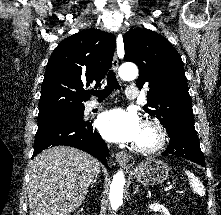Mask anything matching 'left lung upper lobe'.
Instances as JSON below:
<instances>
[{
	"label": "left lung upper lobe",
	"mask_w": 221,
	"mask_h": 215,
	"mask_svg": "<svg viewBox=\"0 0 221 215\" xmlns=\"http://www.w3.org/2000/svg\"><path fill=\"white\" fill-rule=\"evenodd\" d=\"M125 60L139 68L138 88L148 84L147 105L163 127L194 126L191 97L182 59L172 44L148 29H134L123 36Z\"/></svg>",
	"instance_id": "1"
}]
</instances>
